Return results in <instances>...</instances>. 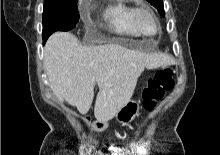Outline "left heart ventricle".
I'll list each match as a JSON object with an SVG mask.
<instances>
[{
  "instance_id": "left-heart-ventricle-1",
  "label": "left heart ventricle",
  "mask_w": 220,
  "mask_h": 155,
  "mask_svg": "<svg viewBox=\"0 0 220 155\" xmlns=\"http://www.w3.org/2000/svg\"><path fill=\"white\" fill-rule=\"evenodd\" d=\"M139 23L142 31L145 34L151 36L156 32V23L150 15L148 14L142 15Z\"/></svg>"
}]
</instances>
